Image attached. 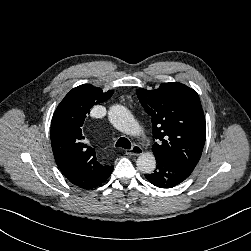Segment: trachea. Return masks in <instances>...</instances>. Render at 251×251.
Masks as SVG:
<instances>
[{
	"mask_svg": "<svg viewBox=\"0 0 251 251\" xmlns=\"http://www.w3.org/2000/svg\"><path fill=\"white\" fill-rule=\"evenodd\" d=\"M116 147H121L124 149H130L131 148V142L125 138V137H121L118 139V141L116 142Z\"/></svg>",
	"mask_w": 251,
	"mask_h": 251,
	"instance_id": "3493384b",
	"label": "trachea"
}]
</instances>
